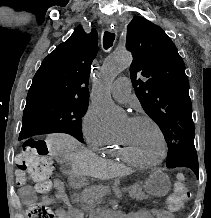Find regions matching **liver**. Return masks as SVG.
<instances>
[{
    "mask_svg": "<svg viewBox=\"0 0 211 218\" xmlns=\"http://www.w3.org/2000/svg\"><path fill=\"white\" fill-rule=\"evenodd\" d=\"M49 146L51 156L70 160L72 174L79 176H94V178H118L125 176L126 168L114 164L110 160H102L96 154L85 150L78 140L68 134H51L45 140Z\"/></svg>",
    "mask_w": 211,
    "mask_h": 218,
    "instance_id": "6515ba94",
    "label": "liver"
}]
</instances>
